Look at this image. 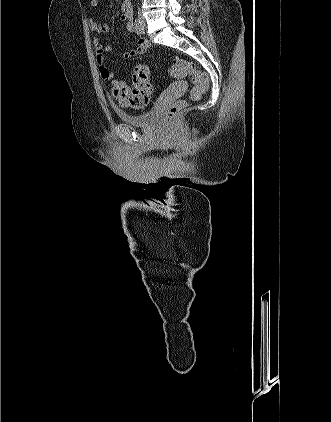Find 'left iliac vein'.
I'll list each match as a JSON object with an SVG mask.
<instances>
[{"label":"left iliac vein","mask_w":331,"mask_h":422,"mask_svg":"<svg viewBox=\"0 0 331 422\" xmlns=\"http://www.w3.org/2000/svg\"><path fill=\"white\" fill-rule=\"evenodd\" d=\"M141 20H142L143 27H145V20L143 18Z\"/></svg>","instance_id":"1"}]
</instances>
